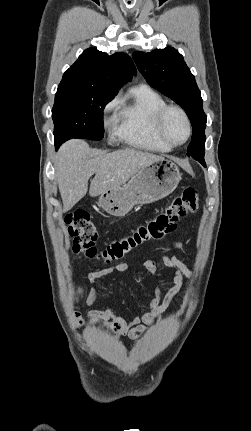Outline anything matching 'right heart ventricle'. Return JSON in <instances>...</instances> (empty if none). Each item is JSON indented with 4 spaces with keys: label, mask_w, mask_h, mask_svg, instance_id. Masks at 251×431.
Instances as JSON below:
<instances>
[{
    "label": "right heart ventricle",
    "mask_w": 251,
    "mask_h": 431,
    "mask_svg": "<svg viewBox=\"0 0 251 431\" xmlns=\"http://www.w3.org/2000/svg\"><path fill=\"white\" fill-rule=\"evenodd\" d=\"M165 104V100L151 88H133L129 98L119 102L114 136L135 148L158 153L169 152L171 147L160 141L153 128L154 116Z\"/></svg>",
    "instance_id": "e07e8e85"
}]
</instances>
